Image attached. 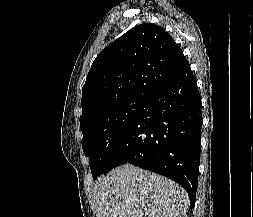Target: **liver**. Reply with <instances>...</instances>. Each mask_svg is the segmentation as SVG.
<instances>
[{
	"label": "liver",
	"mask_w": 253,
	"mask_h": 217,
	"mask_svg": "<svg viewBox=\"0 0 253 217\" xmlns=\"http://www.w3.org/2000/svg\"><path fill=\"white\" fill-rule=\"evenodd\" d=\"M189 197L172 180L131 164L97 179V217H187Z\"/></svg>",
	"instance_id": "6515ba94"
}]
</instances>
